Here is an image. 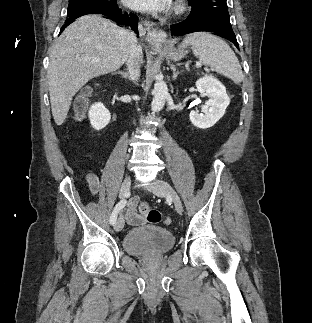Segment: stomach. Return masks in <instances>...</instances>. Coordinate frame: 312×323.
<instances>
[{
  "instance_id": "stomach-1",
  "label": "stomach",
  "mask_w": 312,
  "mask_h": 323,
  "mask_svg": "<svg viewBox=\"0 0 312 323\" xmlns=\"http://www.w3.org/2000/svg\"><path fill=\"white\" fill-rule=\"evenodd\" d=\"M175 42L176 40H168V42H166L167 44L166 52L169 60H174V62H178V60H181V58H184L186 54V50L184 46H178V48H173Z\"/></svg>"
}]
</instances>
